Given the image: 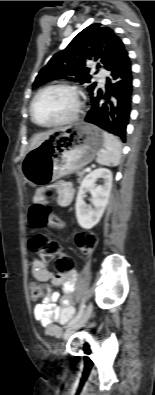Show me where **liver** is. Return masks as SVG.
<instances>
[{
	"instance_id": "1",
	"label": "liver",
	"mask_w": 155,
	"mask_h": 395,
	"mask_svg": "<svg viewBox=\"0 0 155 395\" xmlns=\"http://www.w3.org/2000/svg\"><path fill=\"white\" fill-rule=\"evenodd\" d=\"M54 132L52 130L35 135L31 140L30 150L40 145L42 141L47 140Z\"/></svg>"
}]
</instances>
